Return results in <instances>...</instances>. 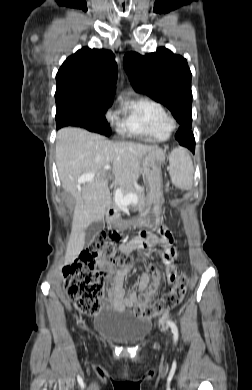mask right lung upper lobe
<instances>
[{
    "instance_id": "cb5924a9",
    "label": "right lung upper lobe",
    "mask_w": 252,
    "mask_h": 390,
    "mask_svg": "<svg viewBox=\"0 0 252 390\" xmlns=\"http://www.w3.org/2000/svg\"><path fill=\"white\" fill-rule=\"evenodd\" d=\"M117 80L115 55L84 47L69 56L56 75V105L66 102L112 104Z\"/></svg>"
}]
</instances>
